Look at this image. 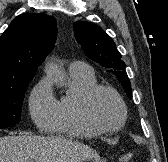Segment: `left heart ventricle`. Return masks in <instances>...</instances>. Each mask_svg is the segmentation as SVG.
<instances>
[{"mask_svg":"<svg viewBox=\"0 0 168 162\" xmlns=\"http://www.w3.org/2000/svg\"><path fill=\"white\" fill-rule=\"evenodd\" d=\"M92 110L95 118L105 126H114L121 120V109L115 97L105 91L93 99Z\"/></svg>","mask_w":168,"mask_h":162,"instance_id":"1","label":"left heart ventricle"}]
</instances>
